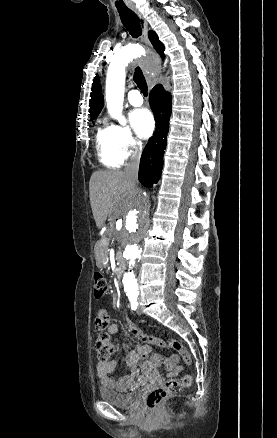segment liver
Segmentation results:
<instances>
[{"instance_id":"liver-1","label":"liver","mask_w":277,"mask_h":438,"mask_svg":"<svg viewBox=\"0 0 277 438\" xmlns=\"http://www.w3.org/2000/svg\"><path fill=\"white\" fill-rule=\"evenodd\" d=\"M121 188H131L125 172L99 170L90 178V204L97 228H102L113 205H120Z\"/></svg>"}]
</instances>
